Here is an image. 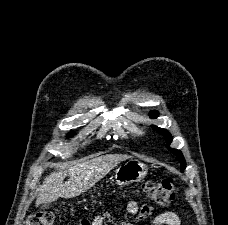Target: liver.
<instances>
[{
	"instance_id": "1",
	"label": "liver",
	"mask_w": 228,
	"mask_h": 225,
	"mask_svg": "<svg viewBox=\"0 0 228 225\" xmlns=\"http://www.w3.org/2000/svg\"><path fill=\"white\" fill-rule=\"evenodd\" d=\"M126 159H131V157L102 155V157H96V159H90V161H84L78 165H69L68 169L59 171V173H50L38 193L36 207L41 203H53L59 197L62 199L79 197ZM65 177H70V179L63 183Z\"/></svg>"
}]
</instances>
